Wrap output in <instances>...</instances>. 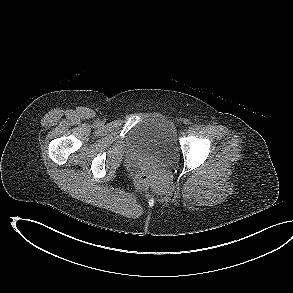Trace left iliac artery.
<instances>
[{
	"label": "left iliac artery",
	"instance_id": "1",
	"mask_svg": "<svg viewBox=\"0 0 293 293\" xmlns=\"http://www.w3.org/2000/svg\"><path fill=\"white\" fill-rule=\"evenodd\" d=\"M194 130L198 131L200 129V126L199 125H194Z\"/></svg>",
	"mask_w": 293,
	"mask_h": 293
}]
</instances>
